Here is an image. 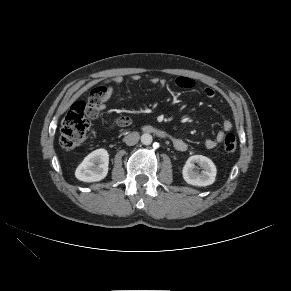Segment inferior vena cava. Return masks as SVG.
<instances>
[{
    "label": "inferior vena cava",
    "mask_w": 291,
    "mask_h": 291,
    "mask_svg": "<svg viewBox=\"0 0 291 291\" xmlns=\"http://www.w3.org/2000/svg\"><path fill=\"white\" fill-rule=\"evenodd\" d=\"M139 138L140 135L138 132H132L124 138V141L128 146H133L139 141Z\"/></svg>",
    "instance_id": "1"
}]
</instances>
